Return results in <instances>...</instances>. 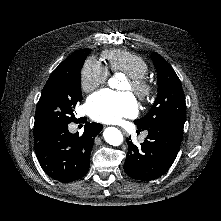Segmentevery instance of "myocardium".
<instances>
[{"mask_svg":"<svg viewBox=\"0 0 221 221\" xmlns=\"http://www.w3.org/2000/svg\"><path fill=\"white\" fill-rule=\"evenodd\" d=\"M128 82L130 84L131 91L141 102H146L150 99L153 94V85L146 77H129Z\"/></svg>","mask_w":221,"mask_h":221,"instance_id":"1","label":"myocardium"}]
</instances>
